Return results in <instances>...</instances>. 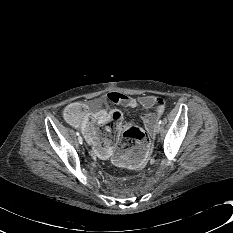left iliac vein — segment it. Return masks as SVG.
Here are the masks:
<instances>
[{
  "label": "left iliac vein",
  "mask_w": 233,
  "mask_h": 233,
  "mask_svg": "<svg viewBox=\"0 0 233 233\" xmlns=\"http://www.w3.org/2000/svg\"><path fill=\"white\" fill-rule=\"evenodd\" d=\"M161 131V125L160 124H156L155 128H154V132L155 133H159Z\"/></svg>",
  "instance_id": "4c4485c4"
}]
</instances>
